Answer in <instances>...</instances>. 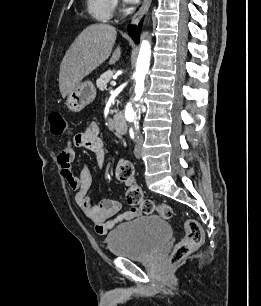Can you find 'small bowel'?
Here are the masks:
<instances>
[{
  "instance_id": "1",
  "label": "small bowel",
  "mask_w": 261,
  "mask_h": 306,
  "mask_svg": "<svg viewBox=\"0 0 261 306\" xmlns=\"http://www.w3.org/2000/svg\"><path fill=\"white\" fill-rule=\"evenodd\" d=\"M74 147L85 148L92 151L97 163L103 166L106 151L97 125L90 124L82 132L68 140L64 149L57 156L60 172L68 186L75 191V203L87 218L94 224L99 235H105L117 224L130 220L137 215L136 209L121 212V204L112 199H101L98 203H92L87 197L91 187L92 175L87 165H83L76 175L72 169L75 157Z\"/></svg>"
}]
</instances>
